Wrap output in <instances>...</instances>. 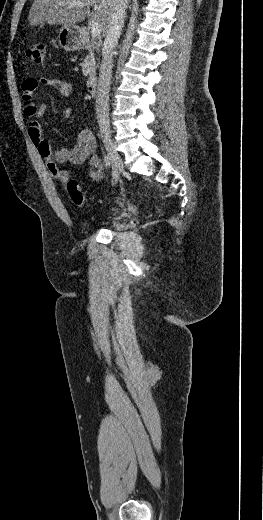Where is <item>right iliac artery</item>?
<instances>
[{"instance_id": "1", "label": "right iliac artery", "mask_w": 263, "mask_h": 520, "mask_svg": "<svg viewBox=\"0 0 263 520\" xmlns=\"http://www.w3.org/2000/svg\"><path fill=\"white\" fill-rule=\"evenodd\" d=\"M104 163L107 167H110L111 166V159L108 155H105L104 157Z\"/></svg>"}]
</instances>
